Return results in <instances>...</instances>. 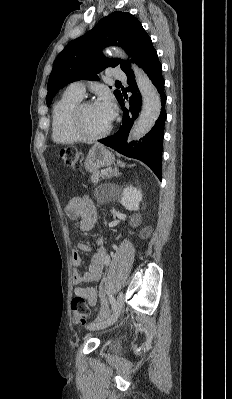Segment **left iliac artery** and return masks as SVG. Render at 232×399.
<instances>
[{
	"mask_svg": "<svg viewBox=\"0 0 232 399\" xmlns=\"http://www.w3.org/2000/svg\"><path fill=\"white\" fill-rule=\"evenodd\" d=\"M116 305H117V303H116V302H113L112 308L114 309V308L116 307ZM96 320H97V319H96Z\"/></svg>",
	"mask_w": 232,
	"mask_h": 399,
	"instance_id": "left-iliac-artery-1",
	"label": "left iliac artery"
}]
</instances>
